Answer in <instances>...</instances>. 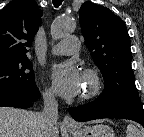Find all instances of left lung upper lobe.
<instances>
[{"label": "left lung upper lobe", "instance_id": "obj_1", "mask_svg": "<svg viewBox=\"0 0 144 137\" xmlns=\"http://www.w3.org/2000/svg\"><path fill=\"white\" fill-rule=\"evenodd\" d=\"M79 17L86 45L105 82L99 97L106 101L139 97L125 23L110 9L91 2L81 6Z\"/></svg>", "mask_w": 144, "mask_h": 137}]
</instances>
